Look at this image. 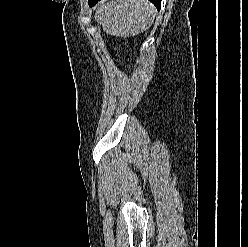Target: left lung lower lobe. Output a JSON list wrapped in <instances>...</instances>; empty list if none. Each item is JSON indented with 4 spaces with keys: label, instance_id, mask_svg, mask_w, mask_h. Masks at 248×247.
Masks as SVG:
<instances>
[{
    "label": "left lung lower lobe",
    "instance_id": "left-lung-lower-lobe-1",
    "mask_svg": "<svg viewBox=\"0 0 248 247\" xmlns=\"http://www.w3.org/2000/svg\"><path fill=\"white\" fill-rule=\"evenodd\" d=\"M98 1L100 0H89V6L92 7L94 6ZM159 10L161 6V0H150Z\"/></svg>",
    "mask_w": 248,
    "mask_h": 247
}]
</instances>
